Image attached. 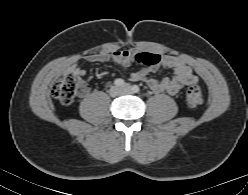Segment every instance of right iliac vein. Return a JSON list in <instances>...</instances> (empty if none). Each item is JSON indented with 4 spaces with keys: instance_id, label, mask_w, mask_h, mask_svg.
I'll list each match as a JSON object with an SVG mask.
<instances>
[{
    "instance_id": "1",
    "label": "right iliac vein",
    "mask_w": 248,
    "mask_h": 195,
    "mask_svg": "<svg viewBox=\"0 0 248 195\" xmlns=\"http://www.w3.org/2000/svg\"><path fill=\"white\" fill-rule=\"evenodd\" d=\"M122 92V90L117 87V86H113L111 89H110V95L111 96H117V95H120Z\"/></svg>"
}]
</instances>
